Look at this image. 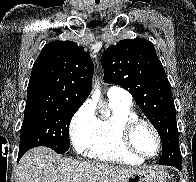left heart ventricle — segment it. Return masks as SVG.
<instances>
[{"label": "left heart ventricle", "instance_id": "b2bd125f", "mask_svg": "<svg viewBox=\"0 0 196 182\" xmlns=\"http://www.w3.org/2000/svg\"><path fill=\"white\" fill-rule=\"evenodd\" d=\"M133 143L145 155H153L157 150V141L154 133L146 125H140L134 132Z\"/></svg>", "mask_w": 196, "mask_h": 182}]
</instances>
